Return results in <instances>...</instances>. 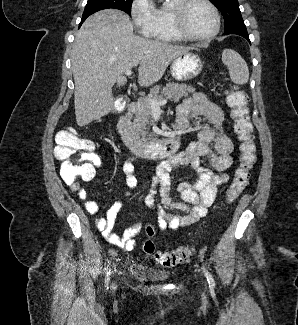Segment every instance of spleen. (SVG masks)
Wrapping results in <instances>:
<instances>
[{
	"label": "spleen",
	"mask_w": 298,
	"mask_h": 325,
	"mask_svg": "<svg viewBox=\"0 0 298 325\" xmlns=\"http://www.w3.org/2000/svg\"><path fill=\"white\" fill-rule=\"evenodd\" d=\"M222 62L228 66L229 76L235 84H246L249 78V68L246 60L233 48H224Z\"/></svg>",
	"instance_id": "spleen-1"
}]
</instances>
